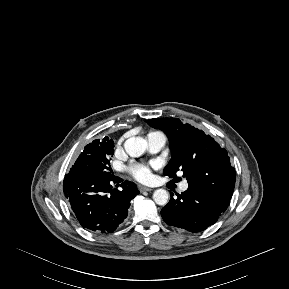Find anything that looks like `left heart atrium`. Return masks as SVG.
Here are the masks:
<instances>
[{"mask_svg":"<svg viewBox=\"0 0 289 289\" xmlns=\"http://www.w3.org/2000/svg\"><path fill=\"white\" fill-rule=\"evenodd\" d=\"M132 176L141 181L146 182L150 179L151 176V166L149 165H134L131 168Z\"/></svg>","mask_w":289,"mask_h":289,"instance_id":"1","label":"left heart atrium"}]
</instances>
